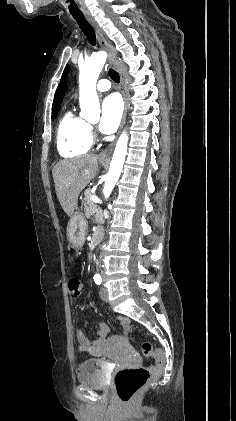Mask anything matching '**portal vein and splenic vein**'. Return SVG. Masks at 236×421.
<instances>
[{
    "mask_svg": "<svg viewBox=\"0 0 236 421\" xmlns=\"http://www.w3.org/2000/svg\"><path fill=\"white\" fill-rule=\"evenodd\" d=\"M90 200H94V202H102L101 198H98V196H94V194H91Z\"/></svg>",
    "mask_w": 236,
    "mask_h": 421,
    "instance_id": "portal-vein-and-splenic-vein-1",
    "label": "portal vein and splenic vein"
}]
</instances>
